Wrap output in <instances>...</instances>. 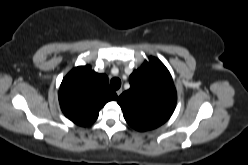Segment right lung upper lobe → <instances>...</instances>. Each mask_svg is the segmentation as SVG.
I'll return each mask as SVG.
<instances>
[{"label": "right lung upper lobe", "instance_id": "obj_1", "mask_svg": "<svg viewBox=\"0 0 248 165\" xmlns=\"http://www.w3.org/2000/svg\"><path fill=\"white\" fill-rule=\"evenodd\" d=\"M117 94L110 89L105 74H98L90 66L74 68L62 81L59 103L64 115L80 126L93 123L100 109Z\"/></svg>", "mask_w": 248, "mask_h": 165}]
</instances>
